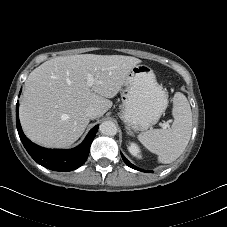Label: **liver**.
I'll list each match as a JSON object with an SVG mask.
<instances>
[{
  "label": "liver",
  "mask_w": 227,
  "mask_h": 227,
  "mask_svg": "<svg viewBox=\"0 0 227 227\" xmlns=\"http://www.w3.org/2000/svg\"><path fill=\"white\" fill-rule=\"evenodd\" d=\"M141 60L123 55L59 56L35 68L25 82L19 117L25 135L53 148L72 145L84 132L89 107L103 116L109 100L121 90L131 69ZM91 74L94 83L87 84Z\"/></svg>",
  "instance_id": "obj_1"
}]
</instances>
